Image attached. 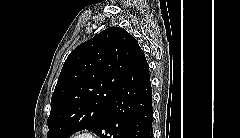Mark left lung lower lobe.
Returning <instances> with one entry per match:
<instances>
[{
	"instance_id": "1",
	"label": "left lung lower lobe",
	"mask_w": 240,
	"mask_h": 138,
	"mask_svg": "<svg viewBox=\"0 0 240 138\" xmlns=\"http://www.w3.org/2000/svg\"><path fill=\"white\" fill-rule=\"evenodd\" d=\"M94 132L100 138H152L151 82L142 49Z\"/></svg>"
}]
</instances>
